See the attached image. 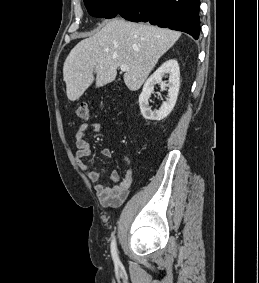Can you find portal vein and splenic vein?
I'll list each match as a JSON object with an SVG mask.
<instances>
[{
	"label": "portal vein and splenic vein",
	"mask_w": 259,
	"mask_h": 283,
	"mask_svg": "<svg viewBox=\"0 0 259 283\" xmlns=\"http://www.w3.org/2000/svg\"><path fill=\"white\" fill-rule=\"evenodd\" d=\"M120 69L121 71L126 72V71H129L130 68L128 67V65H121Z\"/></svg>",
	"instance_id": "obj_1"
}]
</instances>
